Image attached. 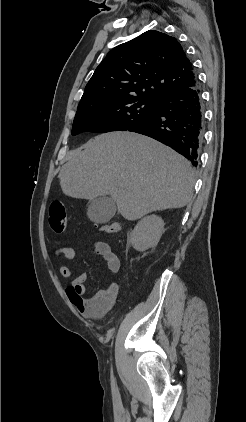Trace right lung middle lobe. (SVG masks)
Listing matches in <instances>:
<instances>
[{"label": "right lung middle lobe", "mask_w": 246, "mask_h": 422, "mask_svg": "<svg viewBox=\"0 0 246 422\" xmlns=\"http://www.w3.org/2000/svg\"><path fill=\"white\" fill-rule=\"evenodd\" d=\"M154 111V102L136 97L124 96L93 102L78 107L72 135L81 132L125 131L150 118Z\"/></svg>", "instance_id": "1"}]
</instances>
